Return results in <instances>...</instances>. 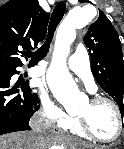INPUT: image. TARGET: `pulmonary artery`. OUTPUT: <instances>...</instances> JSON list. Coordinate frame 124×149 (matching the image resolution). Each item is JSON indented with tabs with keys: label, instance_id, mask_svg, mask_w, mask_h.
Returning a JSON list of instances; mask_svg holds the SVG:
<instances>
[{
	"label": "pulmonary artery",
	"instance_id": "e3ab8cb5",
	"mask_svg": "<svg viewBox=\"0 0 124 149\" xmlns=\"http://www.w3.org/2000/svg\"><path fill=\"white\" fill-rule=\"evenodd\" d=\"M68 66L78 77L84 81L87 89L90 92L96 91L97 87L91 72L88 53L84 47H77L75 54L68 62ZM44 72V68H36L29 72V76L42 75Z\"/></svg>",
	"mask_w": 124,
	"mask_h": 149
}]
</instances>
